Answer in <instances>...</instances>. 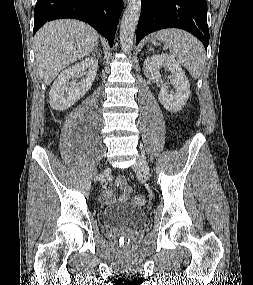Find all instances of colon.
I'll use <instances>...</instances> for the list:
<instances>
[{"mask_svg":"<svg viewBox=\"0 0 253 285\" xmlns=\"http://www.w3.org/2000/svg\"><path fill=\"white\" fill-rule=\"evenodd\" d=\"M133 203L137 206H142L146 203V197L144 195H136L133 198Z\"/></svg>","mask_w":253,"mask_h":285,"instance_id":"colon-1","label":"colon"}]
</instances>
